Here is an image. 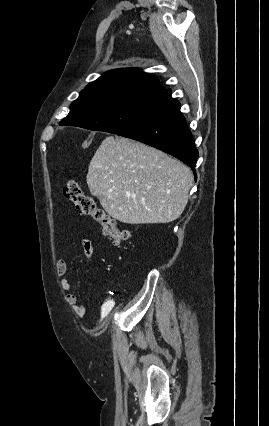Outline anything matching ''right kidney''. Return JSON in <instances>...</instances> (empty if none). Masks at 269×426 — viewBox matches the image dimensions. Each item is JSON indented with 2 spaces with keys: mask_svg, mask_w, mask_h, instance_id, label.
Returning <instances> with one entry per match:
<instances>
[{
  "mask_svg": "<svg viewBox=\"0 0 269 426\" xmlns=\"http://www.w3.org/2000/svg\"><path fill=\"white\" fill-rule=\"evenodd\" d=\"M113 306H114V303L112 301H108L102 306V312H101L102 318L109 314Z\"/></svg>",
  "mask_w": 269,
  "mask_h": 426,
  "instance_id": "obj_1",
  "label": "right kidney"
}]
</instances>
